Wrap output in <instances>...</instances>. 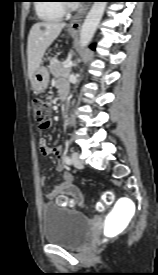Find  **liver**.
Here are the masks:
<instances>
[{"mask_svg":"<svg viewBox=\"0 0 158 275\" xmlns=\"http://www.w3.org/2000/svg\"><path fill=\"white\" fill-rule=\"evenodd\" d=\"M65 25V23L55 21H43L32 26L27 44L28 76L30 79L41 65L45 51L59 36Z\"/></svg>","mask_w":158,"mask_h":275,"instance_id":"obj_1","label":"liver"}]
</instances>
